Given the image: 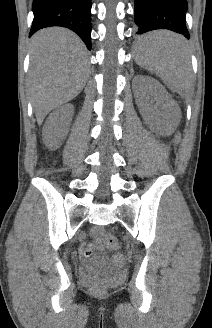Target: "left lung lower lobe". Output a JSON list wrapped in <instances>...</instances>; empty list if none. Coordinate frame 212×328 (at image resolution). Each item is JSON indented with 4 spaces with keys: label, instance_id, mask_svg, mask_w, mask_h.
<instances>
[{
    "label": "left lung lower lobe",
    "instance_id": "1",
    "mask_svg": "<svg viewBox=\"0 0 212 328\" xmlns=\"http://www.w3.org/2000/svg\"><path fill=\"white\" fill-rule=\"evenodd\" d=\"M187 0H135L134 21L138 26L137 34L156 29H168L189 37L185 13ZM138 45L150 46V41L139 38Z\"/></svg>",
    "mask_w": 212,
    "mask_h": 328
}]
</instances>
